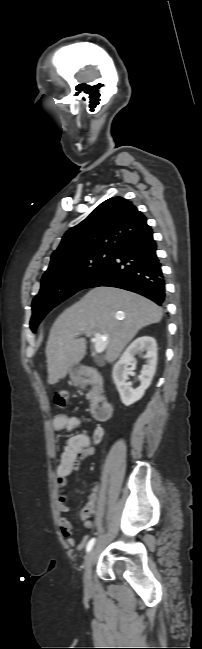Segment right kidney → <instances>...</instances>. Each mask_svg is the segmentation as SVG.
<instances>
[{
  "label": "right kidney",
  "instance_id": "right-kidney-1",
  "mask_svg": "<svg viewBox=\"0 0 202 649\" xmlns=\"http://www.w3.org/2000/svg\"><path fill=\"white\" fill-rule=\"evenodd\" d=\"M145 353V365L141 371V384L133 389L128 380L129 368L135 362L136 354ZM157 366V344L153 337L144 335L136 338L123 352L116 362L112 371V378L120 394L123 404L126 406L141 399L145 390L151 385Z\"/></svg>",
  "mask_w": 202,
  "mask_h": 649
}]
</instances>
